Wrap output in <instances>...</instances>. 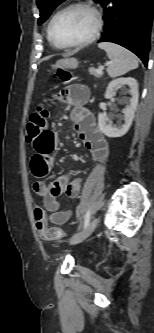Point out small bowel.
I'll return each mask as SVG.
<instances>
[{
  "instance_id": "c3829d8e",
  "label": "small bowel",
  "mask_w": 154,
  "mask_h": 333,
  "mask_svg": "<svg viewBox=\"0 0 154 333\" xmlns=\"http://www.w3.org/2000/svg\"><path fill=\"white\" fill-rule=\"evenodd\" d=\"M89 95L86 85L71 84L62 91L60 98L66 104L73 106L74 128L93 159L103 162L109 155V145L97 126L93 113L84 107ZM57 143V134L46 128L33 141L35 152L31 159V171L34 177L41 179L50 173L53 168L52 154L57 149ZM33 190L43 200L44 209L49 213L48 222L62 225L72 216V209L61 210L58 197L65 194L69 199L75 200L81 191V181L60 177L46 184L38 180L33 184Z\"/></svg>"
}]
</instances>
